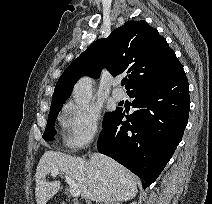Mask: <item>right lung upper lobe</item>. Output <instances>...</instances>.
Wrapping results in <instances>:
<instances>
[{
    "label": "right lung upper lobe",
    "mask_w": 212,
    "mask_h": 204,
    "mask_svg": "<svg viewBox=\"0 0 212 204\" xmlns=\"http://www.w3.org/2000/svg\"><path fill=\"white\" fill-rule=\"evenodd\" d=\"M106 65L113 76L129 74L128 92L169 78L183 67L158 31L146 21H127L107 39L96 40L76 58L59 78L51 106L63 105L76 81L97 77Z\"/></svg>",
    "instance_id": "obj_1"
}]
</instances>
